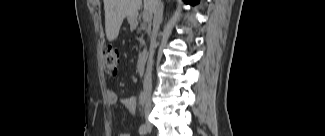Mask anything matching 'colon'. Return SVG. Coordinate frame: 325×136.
Here are the masks:
<instances>
[{
    "mask_svg": "<svg viewBox=\"0 0 325 136\" xmlns=\"http://www.w3.org/2000/svg\"><path fill=\"white\" fill-rule=\"evenodd\" d=\"M104 70L108 74H116L119 65V52L111 45H106L102 49Z\"/></svg>",
    "mask_w": 325,
    "mask_h": 136,
    "instance_id": "colon-1",
    "label": "colon"
}]
</instances>
